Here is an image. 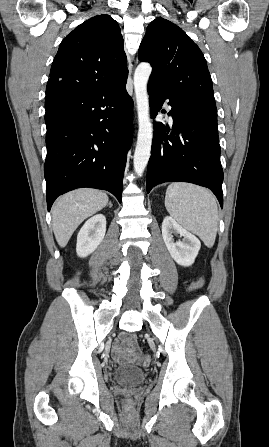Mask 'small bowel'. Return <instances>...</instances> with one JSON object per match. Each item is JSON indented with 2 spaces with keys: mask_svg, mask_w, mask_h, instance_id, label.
<instances>
[{
  "mask_svg": "<svg viewBox=\"0 0 269 447\" xmlns=\"http://www.w3.org/2000/svg\"><path fill=\"white\" fill-rule=\"evenodd\" d=\"M138 334L135 331L127 334L121 332L119 341L112 347V358L120 364L127 362L141 361V352L135 348L133 340L137 339ZM132 339V340H129Z\"/></svg>",
  "mask_w": 269,
  "mask_h": 447,
  "instance_id": "obj_1",
  "label": "small bowel"
}]
</instances>
